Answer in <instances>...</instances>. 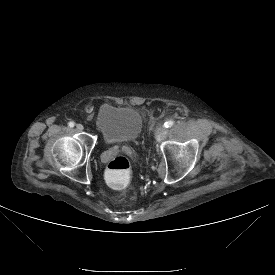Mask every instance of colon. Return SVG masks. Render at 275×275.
I'll use <instances>...</instances> for the list:
<instances>
[{
    "label": "colon",
    "instance_id": "obj_1",
    "mask_svg": "<svg viewBox=\"0 0 275 275\" xmlns=\"http://www.w3.org/2000/svg\"><path fill=\"white\" fill-rule=\"evenodd\" d=\"M105 175L107 181L113 186H126L131 175L130 159L124 155L114 156L106 166Z\"/></svg>",
    "mask_w": 275,
    "mask_h": 275
}]
</instances>
